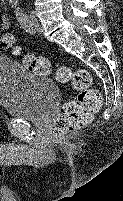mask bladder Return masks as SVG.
<instances>
[{
  "label": "bladder",
  "instance_id": "31cf9c89",
  "mask_svg": "<svg viewBox=\"0 0 123 201\" xmlns=\"http://www.w3.org/2000/svg\"><path fill=\"white\" fill-rule=\"evenodd\" d=\"M60 100L58 86L31 73L11 57L0 56V106L8 115L42 121Z\"/></svg>",
  "mask_w": 123,
  "mask_h": 201
}]
</instances>
